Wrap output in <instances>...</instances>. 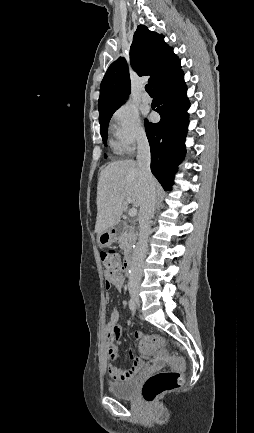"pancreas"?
<instances>
[{
    "instance_id": "obj_1",
    "label": "pancreas",
    "mask_w": 254,
    "mask_h": 433,
    "mask_svg": "<svg viewBox=\"0 0 254 433\" xmlns=\"http://www.w3.org/2000/svg\"><path fill=\"white\" fill-rule=\"evenodd\" d=\"M136 232L132 225L125 224L123 234L120 237L119 243L122 247L132 244L135 241Z\"/></svg>"
}]
</instances>
